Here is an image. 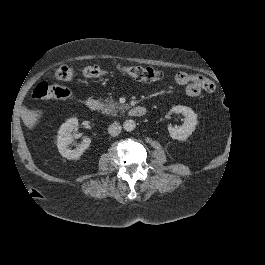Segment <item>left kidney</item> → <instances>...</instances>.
<instances>
[{
  "mask_svg": "<svg viewBox=\"0 0 265 265\" xmlns=\"http://www.w3.org/2000/svg\"><path fill=\"white\" fill-rule=\"evenodd\" d=\"M170 112L180 113L185 116V120L181 126L169 129L170 137L175 140L186 141L195 131L198 124L197 114L190 108L185 106H174Z\"/></svg>",
  "mask_w": 265,
  "mask_h": 265,
  "instance_id": "5707ae66",
  "label": "left kidney"
}]
</instances>
